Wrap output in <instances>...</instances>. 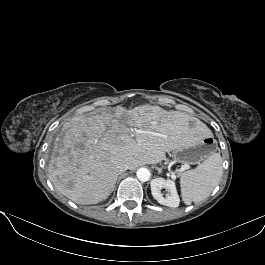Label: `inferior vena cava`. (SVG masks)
Segmentation results:
<instances>
[{
    "mask_svg": "<svg viewBox=\"0 0 265 265\" xmlns=\"http://www.w3.org/2000/svg\"><path fill=\"white\" fill-rule=\"evenodd\" d=\"M130 168V165H129V163H123V164H120L119 166H118V173L120 174V173H122V172H124V171H126V170H128Z\"/></svg>",
    "mask_w": 265,
    "mask_h": 265,
    "instance_id": "obj_1",
    "label": "inferior vena cava"
}]
</instances>
